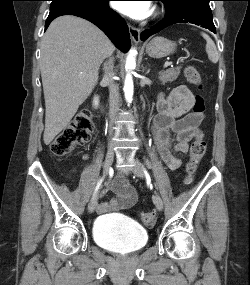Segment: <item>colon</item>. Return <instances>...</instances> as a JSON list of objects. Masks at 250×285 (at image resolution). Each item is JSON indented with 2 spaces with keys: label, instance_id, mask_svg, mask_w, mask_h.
I'll return each mask as SVG.
<instances>
[{
  "label": "colon",
  "instance_id": "obj_1",
  "mask_svg": "<svg viewBox=\"0 0 250 285\" xmlns=\"http://www.w3.org/2000/svg\"><path fill=\"white\" fill-rule=\"evenodd\" d=\"M184 74L189 83L200 86L201 74L195 66H187L184 70ZM204 109L203 98L199 95L196 96L193 106L194 113L202 114ZM93 130L94 124L91 112L88 109H82L52 141L50 144L52 154L55 156H63L70 153L75 147L88 142ZM205 152L206 141L205 137L201 134L190 146V160L187 165V176L185 179L187 184L192 182L197 164L203 158ZM141 219L146 224H152L155 221V214L154 212L143 213Z\"/></svg>",
  "mask_w": 250,
  "mask_h": 285
}]
</instances>
